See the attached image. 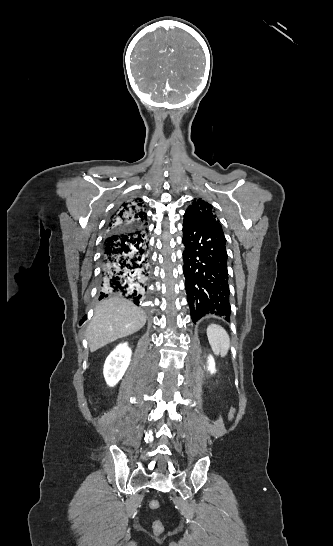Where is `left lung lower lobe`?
Listing matches in <instances>:
<instances>
[{"instance_id": "0a47b994", "label": "left lung lower lobe", "mask_w": 333, "mask_h": 546, "mask_svg": "<svg viewBox=\"0 0 333 546\" xmlns=\"http://www.w3.org/2000/svg\"><path fill=\"white\" fill-rule=\"evenodd\" d=\"M182 243L186 247L183 272L192 321L207 315L229 321L226 239L220 223L184 215Z\"/></svg>"}]
</instances>
